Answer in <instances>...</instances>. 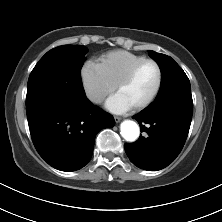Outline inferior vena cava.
<instances>
[{"instance_id":"obj_1","label":"inferior vena cava","mask_w":222,"mask_h":222,"mask_svg":"<svg viewBox=\"0 0 222 222\" xmlns=\"http://www.w3.org/2000/svg\"><path fill=\"white\" fill-rule=\"evenodd\" d=\"M89 98L96 103H99L103 100V97L97 94L90 95Z\"/></svg>"}]
</instances>
